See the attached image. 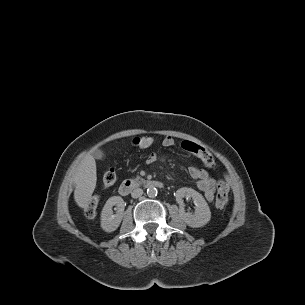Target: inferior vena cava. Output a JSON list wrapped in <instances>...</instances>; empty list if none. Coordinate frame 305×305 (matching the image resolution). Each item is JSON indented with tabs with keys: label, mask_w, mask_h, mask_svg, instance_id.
<instances>
[{
	"label": "inferior vena cava",
	"mask_w": 305,
	"mask_h": 305,
	"mask_svg": "<svg viewBox=\"0 0 305 305\" xmlns=\"http://www.w3.org/2000/svg\"><path fill=\"white\" fill-rule=\"evenodd\" d=\"M143 194V190L141 188H136L132 191L131 196L133 198H139L140 196H142Z\"/></svg>",
	"instance_id": "602c4592"
}]
</instances>
